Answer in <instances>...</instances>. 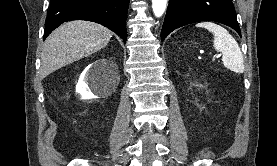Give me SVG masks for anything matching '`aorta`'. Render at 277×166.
I'll return each instance as SVG.
<instances>
[{"instance_id": "aorta-1", "label": "aorta", "mask_w": 277, "mask_h": 166, "mask_svg": "<svg viewBox=\"0 0 277 166\" xmlns=\"http://www.w3.org/2000/svg\"><path fill=\"white\" fill-rule=\"evenodd\" d=\"M167 0H152V9L156 17H161L166 9Z\"/></svg>"}]
</instances>
